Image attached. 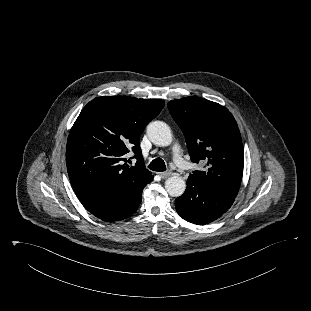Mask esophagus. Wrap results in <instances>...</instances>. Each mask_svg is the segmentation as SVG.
<instances>
[{"label": "esophagus", "mask_w": 311, "mask_h": 311, "mask_svg": "<svg viewBox=\"0 0 311 311\" xmlns=\"http://www.w3.org/2000/svg\"><path fill=\"white\" fill-rule=\"evenodd\" d=\"M160 176L163 178V179H166L168 177H170L172 175V172L171 171H166V172H161L159 173Z\"/></svg>", "instance_id": "obj_1"}]
</instances>
